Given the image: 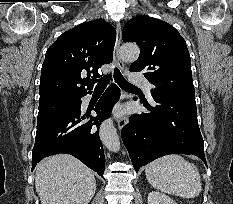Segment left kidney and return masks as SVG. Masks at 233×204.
Returning a JSON list of instances; mask_svg holds the SVG:
<instances>
[{
	"label": "left kidney",
	"instance_id": "1",
	"mask_svg": "<svg viewBox=\"0 0 233 204\" xmlns=\"http://www.w3.org/2000/svg\"><path fill=\"white\" fill-rule=\"evenodd\" d=\"M148 204H177L169 196L158 191H152L148 194Z\"/></svg>",
	"mask_w": 233,
	"mask_h": 204
}]
</instances>
